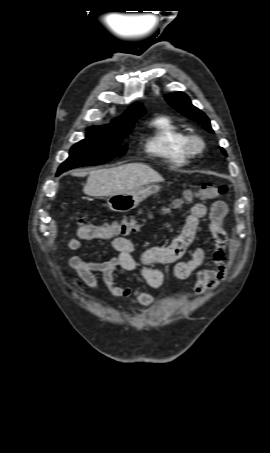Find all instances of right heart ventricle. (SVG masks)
Listing matches in <instances>:
<instances>
[{
  "label": "right heart ventricle",
  "mask_w": 270,
  "mask_h": 453,
  "mask_svg": "<svg viewBox=\"0 0 270 453\" xmlns=\"http://www.w3.org/2000/svg\"><path fill=\"white\" fill-rule=\"evenodd\" d=\"M186 138L187 134L169 117L159 116L152 122L145 147L148 153L171 165L184 166L192 158L185 146Z\"/></svg>",
  "instance_id": "1"
}]
</instances>
